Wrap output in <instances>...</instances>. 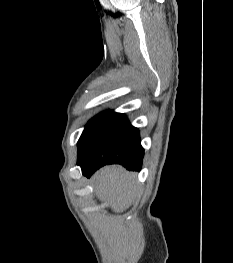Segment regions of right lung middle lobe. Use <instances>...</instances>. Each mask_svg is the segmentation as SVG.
Listing matches in <instances>:
<instances>
[{
	"instance_id": "1",
	"label": "right lung middle lobe",
	"mask_w": 233,
	"mask_h": 263,
	"mask_svg": "<svg viewBox=\"0 0 233 263\" xmlns=\"http://www.w3.org/2000/svg\"><path fill=\"white\" fill-rule=\"evenodd\" d=\"M108 112H102L99 115L95 116L93 119H91L88 124L86 125L81 137L83 138L84 136H86L103 118L104 116L107 114Z\"/></svg>"
}]
</instances>
